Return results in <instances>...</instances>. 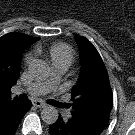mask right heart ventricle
<instances>
[{"label":"right heart ventricle","instance_id":"obj_1","mask_svg":"<svg viewBox=\"0 0 135 135\" xmlns=\"http://www.w3.org/2000/svg\"><path fill=\"white\" fill-rule=\"evenodd\" d=\"M41 47H36V52L41 53ZM46 56L53 67L63 66L68 68L75 58L73 48L64 42H56L50 45L46 50Z\"/></svg>","mask_w":135,"mask_h":135}]
</instances>
